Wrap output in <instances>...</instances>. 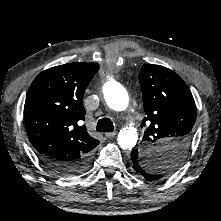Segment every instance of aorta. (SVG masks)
<instances>
[{
    "mask_svg": "<svg viewBox=\"0 0 221 221\" xmlns=\"http://www.w3.org/2000/svg\"><path fill=\"white\" fill-rule=\"evenodd\" d=\"M103 95L107 105L115 111H123L128 106V94L125 88L118 82L111 80L104 84ZM138 139V133L135 128H123L118 134V145L122 149H132Z\"/></svg>",
    "mask_w": 221,
    "mask_h": 221,
    "instance_id": "aorta-1",
    "label": "aorta"
}]
</instances>
